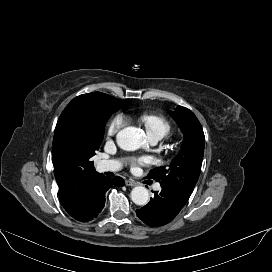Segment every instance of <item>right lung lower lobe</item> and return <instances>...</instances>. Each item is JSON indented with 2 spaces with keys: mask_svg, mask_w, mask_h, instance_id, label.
<instances>
[{
  "mask_svg": "<svg viewBox=\"0 0 272 272\" xmlns=\"http://www.w3.org/2000/svg\"><path fill=\"white\" fill-rule=\"evenodd\" d=\"M124 180L121 177L107 178L105 176L96 180L92 195L90 196L86 206L81 212L72 216L78 221H90L98 216L105 204V193L109 188L115 186H123Z\"/></svg>",
  "mask_w": 272,
  "mask_h": 272,
  "instance_id": "right-lung-lower-lobe-1",
  "label": "right lung lower lobe"
}]
</instances>
